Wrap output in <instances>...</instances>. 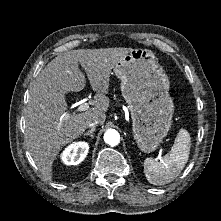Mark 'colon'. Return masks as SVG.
<instances>
[{
	"label": "colon",
	"instance_id": "1",
	"mask_svg": "<svg viewBox=\"0 0 221 221\" xmlns=\"http://www.w3.org/2000/svg\"><path fill=\"white\" fill-rule=\"evenodd\" d=\"M169 95H170L171 97H176V96L178 95V91H177L175 88H171V89L169 90Z\"/></svg>",
	"mask_w": 221,
	"mask_h": 221
}]
</instances>
